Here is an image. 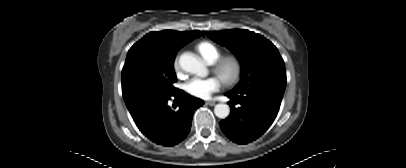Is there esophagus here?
<instances>
[{
  "label": "esophagus",
  "mask_w": 406,
  "mask_h": 168,
  "mask_svg": "<svg viewBox=\"0 0 406 168\" xmlns=\"http://www.w3.org/2000/svg\"><path fill=\"white\" fill-rule=\"evenodd\" d=\"M205 104L209 106H214L216 103L213 101H206Z\"/></svg>",
  "instance_id": "1"
}]
</instances>
